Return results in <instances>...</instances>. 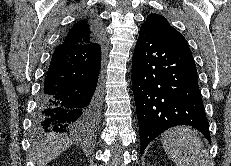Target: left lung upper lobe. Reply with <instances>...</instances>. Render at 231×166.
<instances>
[{
    "label": "left lung upper lobe",
    "mask_w": 231,
    "mask_h": 166,
    "mask_svg": "<svg viewBox=\"0 0 231 166\" xmlns=\"http://www.w3.org/2000/svg\"><path fill=\"white\" fill-rule=\"evenodd\" d=\"M158 39L177 45L189 47L185 38L176 29L171 27L165 17L159 14H150L141 26Z\"/></svg>",
    "instance_id": "left-lung-upper-lobe-1"
}]
</instances>
